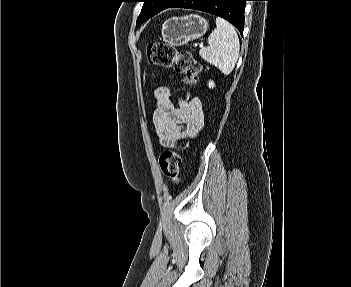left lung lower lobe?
Returning <instances> with one entry per match:
<instances>
[{
	"mask_svg": "<svg viewBox=\"0 0 351 287\" xmlns=\"http://www.w3.org/2000/svg\"><path fill=\"white\" fill-rule=\"evenodd\" d=\"M248 0H176L168 8L195 9L222 17L243 34L244 9Z\"/></svg>",
	"mask_w": 351,
	"mask_h": 287,
	"instance_id": "obj_1",
	"label": "left lung lower lobe"
}]
</instances>
